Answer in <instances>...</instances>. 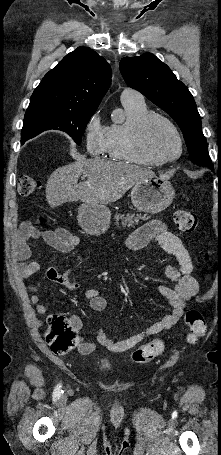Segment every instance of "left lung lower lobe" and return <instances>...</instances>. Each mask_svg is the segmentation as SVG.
I'll list each match as a JSON object with an SVG mask.
<instances>
[{
    "mask_svg": "<svg viewBox=\"0 0 221 455\" xmlns=\"http://www.w3.org/2000/svg\"><path fill=\"white\" fill-rule=\"evenodd\" d=\"M209 168H210L212 171H214V166H213V164L209 165Z\"/></svg>",
    "mask_w": 221,
    "mask_h": 455,
    "instance_id": "0a47b994",
    "label": "left lung lower lobe"
}]
</instances>
